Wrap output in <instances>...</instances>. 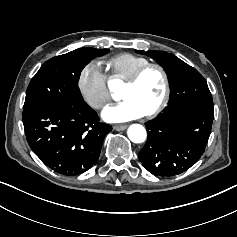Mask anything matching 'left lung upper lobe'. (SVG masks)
<instances>
[{
  "label": "left lung upper lobe",
  "mask_w": 237,
  "mask_h": 237,
  "mask_svg": "<svg viewBox=\"0 0 237 237\" xmlns=\"http://www.w3.org/2000/svg\"><path fill=\"white\" fill-rule=\"evenodd\" d=\"M156 60L167 72L171 99L158 118L146 122L148 140L139 152L143 166L155 176H174L189 168L179 160H197L204 153L211 127L202 120L173 121L165 115L172 110L194 106H213L204 77L178 57L164 51L136 50Z\"/></svg>",
  "instance_id": "5c2ea615"
}]
</instances>
